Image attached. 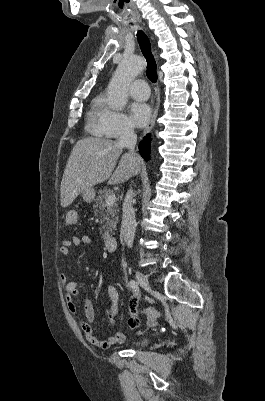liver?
<instances>
[{
  "instance_id": "6515ba94",
  "label": "liver",
  "mask_w": 265,
  "mask_h": 401,
  "mask_svg": "<svg viewBox=\"0 0 265 401\" xmlns=\"http://www.w3.org/2000/svg\"><path fill=\"white\" fill-rule=\"evenodd\" d=\"M123 146L119 140L88 136L73 146L61 180V205L69 207L76 196L94 184L108 180V184H120L132 174L140 172L141 158L123 154L114 170ZM114 170V172H113Z\"/></svg>"
}]
</instances>
